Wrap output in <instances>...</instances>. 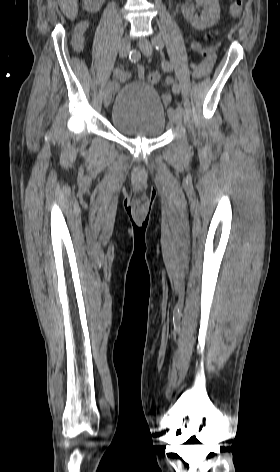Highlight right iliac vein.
I'll return each instance as SVG.
<instances>
[{
  "mask_svg": "<svg viewBox=\"0 0 280 472\" xmlns=\"http://www.w3.org/2000/svg\"><path fill=\"white\" fill-rule=\"evenodd\" d=\"M130 49H131V45H130L129 40L126 38L122 39L119 45L120 57L123 58L127 56L130 52ZM112 92H113V85L111 82H108L107 85L105 86L104 97H103L105 107H108L111 102Z\"/></svg>",
  "mask_w": 280,
  "mask_h": 472,
  "instance_id": "obj_1",
  "label": "right iliac vein"
}]
</instances>
